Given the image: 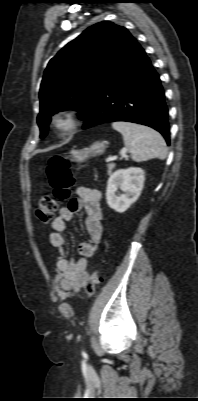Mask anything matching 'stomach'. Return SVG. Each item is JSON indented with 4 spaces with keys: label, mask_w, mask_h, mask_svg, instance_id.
<instances>
[{
    "label": "stomach",
    "mask_w": 198,
    "mask_h": 401,
    "mask_svg": "<svg viewBox=\"0 0 198 401\" xmlns=\"http://www.w3.org/2000/svg\"><path fill=\"white\" fill-rule=\"evenodd\" d=\"M108 144L109 142L107 140L96 141L90 147L81 150L74 149L70 152V154L72 155L75 161L83 162L89 157H94L104 153Z\"/></svg>",
    "instance_id": "1"
}]
</instances>
